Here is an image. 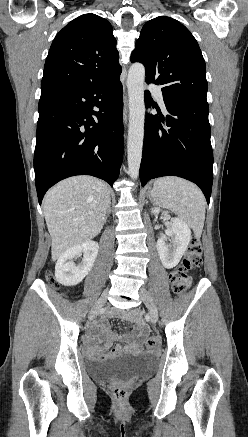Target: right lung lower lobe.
Here are the masks:
<instances>
[{
    "instance_id": "98d812e1",
    "label": "right lung lower lobe",
    "mask_w": 248,
    "mask_h": 437,
    "mask_svg": "<svg viewBox=\"0 0 248 437\" xmlns=\"http://www.w3.org/2000/svg\"><path fill=\"white\" fill-rule=\"evenodd\" d=\"M38 111L34 170L39 204L51 186L70 176L92 175L112 186L123 156L120 74L96 85L41 90Z\"/></svg>"
}]
</instances>
